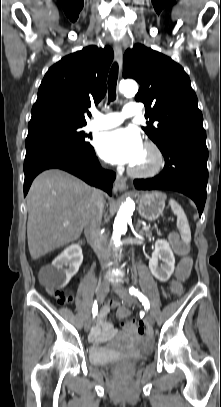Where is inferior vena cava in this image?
I'll return each instance as SVG.
<instances>
[{
  "label": "inferior vena cava",
  "mask_w": 221,
  "mask_h": 407,
  "mask_svg": "<svg viewBox=\"0 0 221 407\" xmlns=\"http://www.w3.org/2000/svg\"><path fill=\"white\" fill-rule=\"evenodd\" d=\"M104 200L99 190H94L92 196L91 209L84 227V233L88 242L97 254L102 268L108 265L110 249L106 245L105 239L100 232V225L103 215Z\"/></svg>",
  "instance_id": "inferior-vena-cava-1"
}]
</instances>
